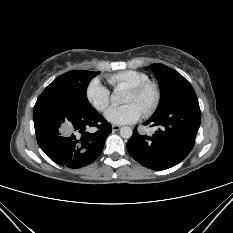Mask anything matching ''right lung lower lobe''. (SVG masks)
<instances>
[{"label": "right lung lower lobe", "mask_w": 233, "mask_h": 233, "mask_svg": "<svg viewBox=\"0 0 233 233\" xmlns=\"http://www.w3.org/2000/svg\"><path fill=\"white\" fill-rule=\"evenodd\" d=\"M37 142L55 163L80 168L102 152L112 127L95 109L79 108L52 92H43L34 106ZM97 127L95 133L86 131Z\"/></svg>", "instance_id": "1"}]
</instances>
